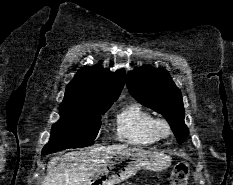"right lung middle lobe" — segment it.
Instances as JSON below:
<instances>
[{
	"label": "right lung middle lobe",
	"instance_id": "right-lung-middle-lobe-1",
	"mask_svg": "<svg viewBox=\"0 0 233 185\" xmlns=\"http://www.w3.org/2000/svg\"><path fill=\"white\" fill-rule=\"evenodd\" d=\"M113 104L104 101L90 105L63 102L60 120L51 129L50 141L42 154H50L68 148H81L94 144L100 126L101 115Z\"/></svg>",
	"mask_w": 233,
	"mask_h": 185
}]
</instances>
